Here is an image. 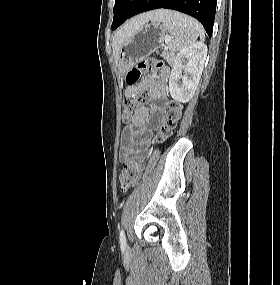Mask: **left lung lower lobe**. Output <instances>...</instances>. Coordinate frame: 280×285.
Listing matches in <instances>:
<instances>
[{
    "label": "left lung lower lobe",
    "instance_id": "obj_1",
    "mask_svg": "<svg viewBox=\"0 0 280 285\" xmlns=\"http://www.w3.org/2000/svg\"><path fill=\"white\" fill-rule=\"evenodd\" d=\"M217 0H140L130 17L153 9L177 10L198 19L209 37L212 35Z\"/></svg>",
    "mask_w": 280,
    "mask_h": 285
}]
</instances>
